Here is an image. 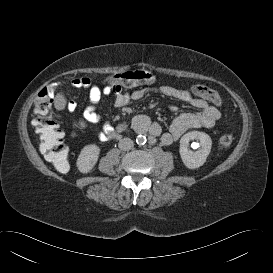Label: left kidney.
I'll return each instance as SVG.
<instances>
[{
  "label": "left kidney",
  "mask_w": 273,
  "mask_h": 273,
  "mask_svg": "<svg viewBox=\"0 0 273 273\" xmlns=\"http://www.w3.org/2000/svg\"><path fill=\"white\" fill-rule=\"evenodd\" d=\"M191 140H199L197 151L189 150V142ZM197 147V148H198ZM212 147V140L210 136L204 132L190 131L184 134L180 139V156L184 165L189 169H196L202 166Z\"/></svg>",
  "instance_id": "obj_1"
}]
</instances>
